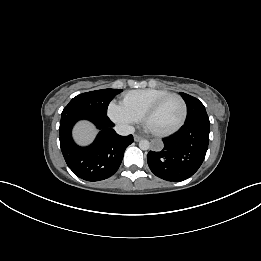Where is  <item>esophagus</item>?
I'll use <instances>...</instances> for the list:
<instances>
[{
    "mask_svg": "<svg viewBox=\"0 0 261 261\" xmlns=\"http://www.w3.org/2000/svg\"><path fill=\"white\" fill-rule=\"evenodd\" d=\"M141 139H142L141 136H139V135H134V141L138 142V141H140Z\"/></svg>",
    "mask_w": 261,
    "mask_h": 261,
    "instance_id": "esophagus-1",
    "label": "esophagus"
}]
</instances>
